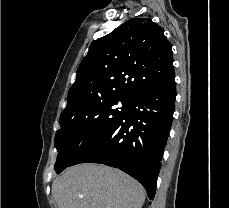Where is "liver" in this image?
<instances>
[{
  "instance_id": "1",
  "label": "liver",
  "mask_w": 229,
  "mask_h": 208,
  "mask_svg": "<svg viewBox=\"0 0 229 208\" xmlns=\"http://www.w3.org/2000/svg\"><path fill=\"white\" fill-rule=\"evenodd\" d=\"M58 208H142L145 190L136 180L108 166L78 164L55 178Z\"/></svg>"
}]
</instances>
